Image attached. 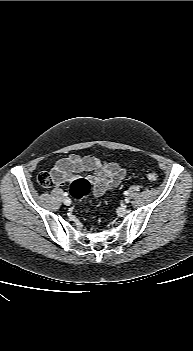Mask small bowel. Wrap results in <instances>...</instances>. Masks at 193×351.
Instances as JSON below:
<instances>
[{
    "instance_id": "obj_1",
    "label": "small bowel",
    "mask_w": 193,
    "mask_h": 351,
    "mask_svg": "<svg viewBox=\"0 0 193 351\" xmlns=\"http://www.w3.org/2000/svg\"><path fill=\"white\" fill-rule=\"evenodd\" d=\"M83 172L89 173L87 178L96 196H101L115 188L125 176V170L117 163L105 162L93 156L74 154L58 159L51 170V176L57 186H64L72 182L77 174Z\"/></svg>"
}]
</instances>
